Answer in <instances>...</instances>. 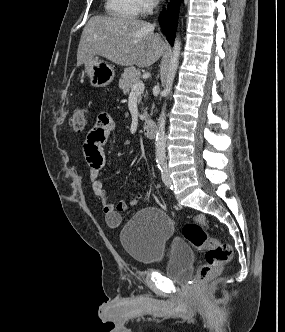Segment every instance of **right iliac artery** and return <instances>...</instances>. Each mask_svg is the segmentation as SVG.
Instances as JSON below:
<instances>
[{
	"mask_svg": "<svg viewBox=\"0 0 285 332\" xmlns=\"http://www.w3.org/2000/svg\"><path fill=\"white\" fill-rule=\"evenodd\" d=\"M158 167L161 168V166L163 165V161H158Z\"/></svg>",
	"mask_w": 285,
	"mask_h": 332,
	"instance_id": "right-iliac-artery-1",
	"label": "right iliac artery"
}]
</instances>
